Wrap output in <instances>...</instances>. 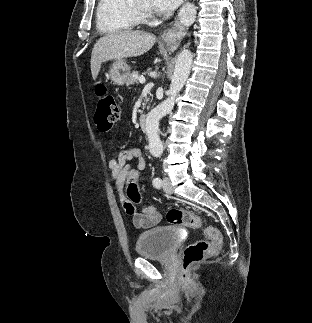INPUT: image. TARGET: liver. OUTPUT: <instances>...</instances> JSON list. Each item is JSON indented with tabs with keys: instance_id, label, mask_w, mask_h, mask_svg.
Segmentation results:
<instances>
[{
	"instance_id": "obj_1",
	"label": "liver",
	"mask_w": 312,
	"mask_h": 323,
	"mask_svg": "<svg viewBox=\"0 0 312 323\" xmlns=\"http://www.w3.org/2000/svg\"><path fill=\"white\" fill-rule=\"evenodd\" d=\"M156 42L153 34L146 32H110L96 42L91 54V74L96 80L101 64L109 60L134 58L149 52Z\"/></svg>"
}]
</instances>
